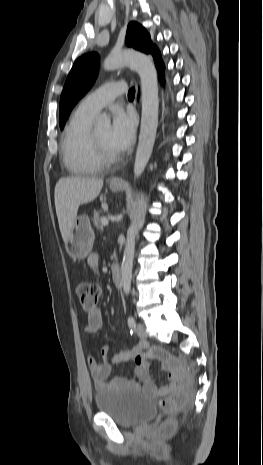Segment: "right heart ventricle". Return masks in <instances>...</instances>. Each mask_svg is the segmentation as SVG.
<instances>
[{
  "label": "right heart ventricle",
  "mask_w": 263,
  "mask_h": 465,
  "mask_svg": "<svg viewBox=\"0 0 263 465\" xmlns=\"http://www.w3.org/2000/svg\"><path fill=\"white\" fill-rule=\"evenodd\" d=\"M93 115L78 109L70 117L61 142L63 162L69 172L88 175L99 172L103 164L98 160L91 139Z\"/></svg>",
  "instance_id": "1"
}]
</instances>
